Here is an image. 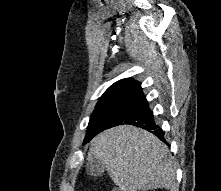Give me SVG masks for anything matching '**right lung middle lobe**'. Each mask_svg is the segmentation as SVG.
<instances>
[{"label":"right lung middle lobe","instance_id":"obj_1","mask_svg":"<svg viewBox=\"0 0 221 191\" xmlns=\"http://www.w3.org/2000/svg\"><path fill=\"white\" fill-rule=\"evenodd\" d=\"M116 102L117 101H110L107 103L96 105L95 110L90 117L87 133L84 139V144L89 142L95 135L99 133L104 118L107 116L110 109Z\"/></svg>","mask_w":221,"mask_h":191}]
</instances>
